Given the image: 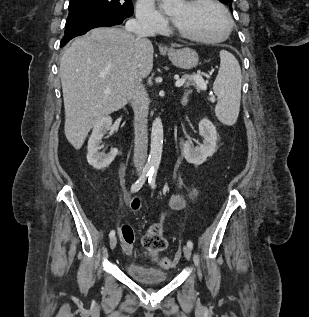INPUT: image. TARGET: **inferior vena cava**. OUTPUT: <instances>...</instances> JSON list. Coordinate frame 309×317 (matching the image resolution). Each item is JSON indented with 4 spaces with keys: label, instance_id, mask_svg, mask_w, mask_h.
<instances>
[{
    "label": "inferior vena cava",
    "instance_id": "inferior-vena-cava-1",
    "mask_svg": "<svg viewBox=\"0 0 309 317\" xmlns=\"http://www.w3.org/2000/svg\"><path fill=\"white\" fill-rule=\"evenodd\" d=\"M127 31L133 32L137 37L154 36L155 30L150 25L136 19H130L125 24ZM132 107L134 111V156L133 162L137 171H141L146 162L148 148V95L142 84V78L136 77L133 84Z\"/></svg>",
    "mask_w": 309,
    "mask_h": 317
}]
</instances>
